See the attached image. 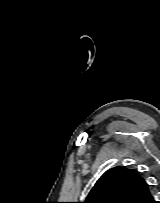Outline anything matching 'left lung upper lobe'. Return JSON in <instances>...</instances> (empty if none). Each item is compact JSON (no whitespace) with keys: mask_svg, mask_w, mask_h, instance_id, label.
<instances>
[{"mask_svg":"<svg viewBox=\"0 0 160 203\" xmlns=\"http://www.w3.org/2000/svg\"><path fill=\"white\" fill-rule=\"evenodd\" d=\"M84 203H157L149 185L133 169L114 167L96 182Z\"/></svg>","mask_w":160,"mask_h":203,"instance_id":"1","label":"left lung upper lobe"}]
</instances>
